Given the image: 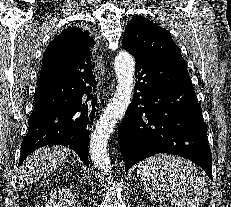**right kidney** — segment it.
<instances>
[{"instance_id":"ca27d5eb","label":"right kidney","mask_w":231,"mask_h":207,"mask_svg":"<svg viewBox=\"0 0 231 207\" xmlns=\"http://www.w3.org/2000/svg\"><path fill=\"white\" fill-rule=\"evenodd\" d=\"M45 207H75L74 193L71 188L62 187L50 194Z\"/></svg>"}]
</instances>
